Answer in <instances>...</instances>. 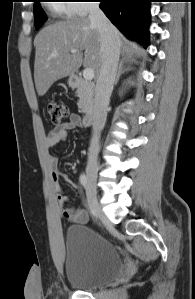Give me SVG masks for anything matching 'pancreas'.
<instances>
[{"instance_id":"1","label":"pancreas","mask_w":195,"mask_h":299,"mask_svg":"<svg viewBox=\"0 0 195 299\" xmlns=\"http://www.w3.org/2000/svg\"><path fill=\"white\" fill-rule=\"evenodd\" d=\"M76 95L79 97L78 108L82 112H87L93 105V91L87 81H82L78 86Z\"/></svg>"}]
</instances>
